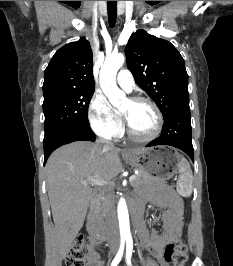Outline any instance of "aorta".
Listing matches in <instances>:
<instances>
[{
    "instance_id": "762f6f07",
    "label": "aorta",
    "mask_w": 233,
    "mask_h": 266,
    "mask_svg": "<svg viewBox=\"0 0 233 266\" xmlns=\"http://www.w3.org/2000/svg\"><path fill=\"white\" fill-rule=\"evenodd\" d=\"M124 61L125 57L120 53L107 57L99 75L100 87L110 103L115 107H118L126 97L125 93L116 84L117 72ZM117 213L121 239L130 238L129 214L124 198H120L118 202Z\"/></svg>"
}]
</instances>
